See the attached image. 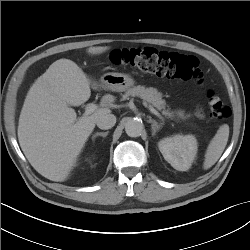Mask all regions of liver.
I'll return each mask as SVG.
<instances>
[{
  "instance_id": "1",
  "label": "liver",
  "mask_w": 250,
  "mask_h": 250,
  "mask_svg": "<svg viewBox=\"0 0 250 250\" xmlns=\"http://www.w3.org/2000/svg\"><path fill=\"white\" fill-rule=\"evenodd\" d=\"M109 47H90L87 52L101 54ZM98 89L83 70L70 59L53 62L29 89L18 124L20 147L33 168L45 178L65 181L75 166L97 119L111 112V95L103 96L101 108L77 119L69 106H80Z\"/></svg>"
}]
</instances>
